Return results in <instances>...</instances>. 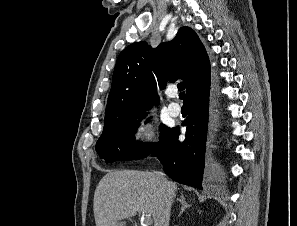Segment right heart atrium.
<instances>
[{
    "instance_id": "1",
    "label": "right heart atrium",
    "mask_w": 297,
    "mask_h": 226,
    "mask_svg": "<svg viewBox=\"0 0 297 226\" xmlns=\"http://www.w3.org/2000/svg\"><path fill=\"white\" fill-rule=\"evenodd\" d=\"M134 136L137 141L141 142H149L152 140L153 137L150 128L143 123L138 124Z\"/></svg>"
}]
</instances>
